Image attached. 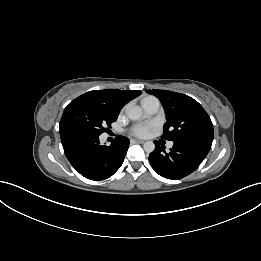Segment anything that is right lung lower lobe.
<instances>
[{"label": "right lung lower lobe", "instance_id": "right-lung-lower-lobe-1", "mask_svg": "<svg viewBox=\"0 0 261 261\" xmlns=\"http://www.w3.org/2000/svg\"><path fill=\"white\" fill-rule=\"evenodd\" d=\"M61 142L71 165L91 180L111 177L122 165L129 140L117 136L110 146L101 145L99 135L89 131L62 130Z\"/></svg>", "mask_w": 261, "mask_h": 261}]
</instances>
